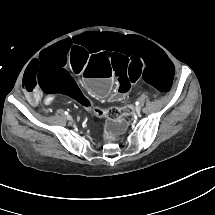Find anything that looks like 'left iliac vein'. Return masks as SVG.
<instances>
[{
    "label": "left iliac vein",
    "instance_id": "4c4485c4",
    "mask_svg": "<svg viewBox=\"0 0 215 215\" xmlns=\"http://www.w3.org/2000/svg\"><path fill=\"white\" fill-rule=\"evenodd\" d=\"M135 111H136V113H139L140 112V107H136Z\"/></svg>",
    "mask_w": 215,
    "mask_h": 215
}]
</instances>
